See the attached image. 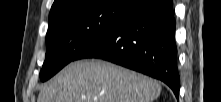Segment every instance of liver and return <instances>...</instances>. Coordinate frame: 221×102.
Listing matches in <instances>:
<instances>
[{"label":"liver","instance_id":"6515ba94","mask_svg":"<svg viewBox=\"0 0 221 102\" xmlns=\"http://www.w3.org/2000/svg\"><path fill=\"white\" fill-rule=\"evenodd\" d=\"M161 86L147 76L103 60L69 64L45 85L37 102H153Z\"/></svg>","mask_w":221,"mask_h":102}]
</instances>
